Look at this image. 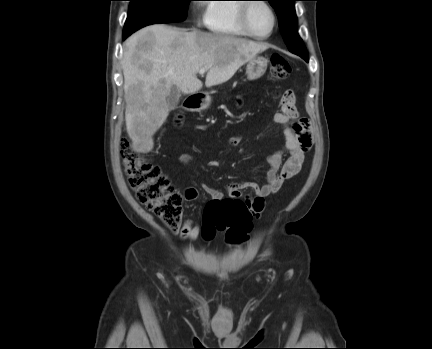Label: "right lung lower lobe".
I'll list each match as a JSON object with an SVG mask.
<instances>
[{
	"label": "right lung lower lobe",
	"instance_id": "obj_1",
	"mask_svg": "<svg viewBox=\"0 0 432 349\" xmlns=\"http://www.w3.org/2000/svg\"><path fill=\"white\" fill-rule=\"evenodd\" d=\"M129 35L127 34H123V39H125L126 37H128Z\"/></svg>",
	"mask_w": 432,
	"mask_h": 349
}]
</instances>
